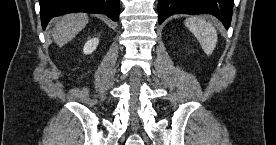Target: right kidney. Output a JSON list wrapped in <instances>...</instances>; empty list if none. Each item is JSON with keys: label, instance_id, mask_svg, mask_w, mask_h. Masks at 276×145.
<instances>
[{"label": "right kidney", "instance_id": "right-kidney-1", "mask_svg": "<svg viewBox=\"0 0 276 145\" xmlns=\"http://www.w3.org/2000/svg\"><path fill=\"white\" fill-rule=\"evenodd\" d=\"M99 43V39L98 38H92L90 40H88L83 48V52L84 54H91L93 51L96 50L97 46Z\"/></svg>", "mask_w": 276, "mask_h": 145}]
</instances>
